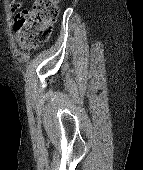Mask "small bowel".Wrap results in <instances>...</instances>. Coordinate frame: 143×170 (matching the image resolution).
<instances>
[{
    "instance_id": "small-bowel-1",
    "label": "small bowel",
    "mask_w": 143,
    "mask_h": 170,
    "mask_svg": "<svg viewBox=\"0 0 143 170\" xmlns=\"http://www.w3.org/2000/svg\"><path fill=\"white\" fill-rule=\"evenodd\" d=\"M21 5V3H17V6H20Z\"/></svg>"
}]
</instances>
